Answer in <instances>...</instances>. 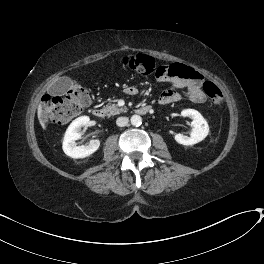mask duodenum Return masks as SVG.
<instances>
[{"label":"duodenum","instance_id":"obj_1","mask_svg":"<svg viewBox=\"0 0 264 264\" xmlns=\"http://www.w3.org/2000/svg\"><path fill=\"white\" fill-rule=\"evenodd\" d=\"M151 110V107L150 106H147V105H142L140 107L137 108L136 110V113L138 115H144L146 113H148L149 111ZM105 110L101 107H95L93 109V115L98 118V119H102L105 117Z\"/></svg>","mask_w":264,"mask_h":264}]
</instances>
